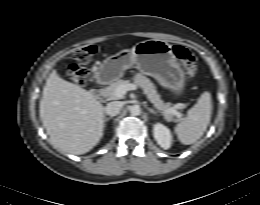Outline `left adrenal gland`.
<instances>
[{"instance_id": "obj_1", "label": "left adrenal gland", "mask_w": 260, "mask_h": 205, "mask_svg": "<svg viewBox=\"0 0 260 205\" xmlns=\"http://www.w3.org/2000/svg\"><path fill=\"white\" fill-rule=\"evenodd\" d=\"M147 108V110L150 112V113H152V114H157V112L155 111V110H153L152 108H149V107H146Z\"/></svg>"}]
</instances>
